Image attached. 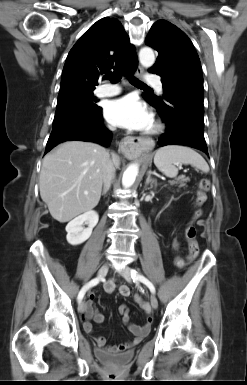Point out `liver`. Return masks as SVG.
Segmentation results:
<instances>
[{
  "instance_id": "1",
  "label": "liver",
  "mask_w": 247,
  "mask_h": 385,
  "mask_svg": "<svg viewBox=\"0 0 247 385\" xmlns=\"http://www.w3.org/2000/svg\"><path fill=\"white\" fill-rule=\"evenodd\" d=\"M108 158V151L100 145L77 140L59 144L44 157L40 196L55 220L68 222L97 206ZM111 159L118 168L119 156L112 153Z\"/></svg>"
}]
</instances>
